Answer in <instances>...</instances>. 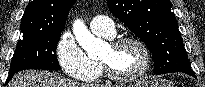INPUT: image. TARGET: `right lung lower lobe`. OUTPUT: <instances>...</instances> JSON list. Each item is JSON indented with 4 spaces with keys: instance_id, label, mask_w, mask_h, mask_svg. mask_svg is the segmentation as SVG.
Listing matches in <instances>:
<instances>
[{
    "instance_id": "1",
    "label": "right lung lower lobe",
    "mask_w": 205,
    "mask_h": 87,
    "mask_svg": "<svg viewBox=\"0 0 205 87\" xmlns=\"http://www.w3.org/2000/svg\"><path fill=\"white\" fill-rule=\"evenodd\" d=\"M13 76H14V74L8 76V78H7V80H6V84L12 79Z\"/></svg>"
}]
</instances>
